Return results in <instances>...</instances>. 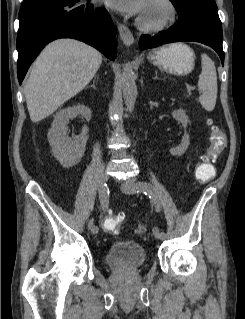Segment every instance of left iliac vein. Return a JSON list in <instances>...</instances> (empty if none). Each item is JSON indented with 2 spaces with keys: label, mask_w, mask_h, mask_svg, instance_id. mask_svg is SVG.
<instances>
[{
  "label": "left iliac vein",
  "mask_w": 245,
  "mask_h": 319,
  "mask_svg": "<svg viewBox=\"0 0 245 319\" xmlns=\"http://www.w3.org/2000/svg\"><path fill=\"white\" fill-rule=\"evenodd\" d=\"M135 178L133 177H128L123 183H122V191L125 193H134L136 192V190L134 189L135 186ZM159 229L158 228H154L153 229V234L157 239H164L160 234H159Z\"/></svg>",
  "instance_id": "left-iliac-vein-1"
}]
</instances>
